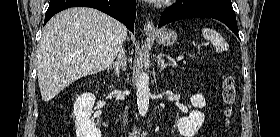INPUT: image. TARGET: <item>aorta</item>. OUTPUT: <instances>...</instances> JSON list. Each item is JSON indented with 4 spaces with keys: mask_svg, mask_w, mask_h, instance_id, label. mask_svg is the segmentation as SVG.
<instances>
[{
    "mask_svg": "<svg viewBox=\"0 0 280 137\" xmlns=\"http://www.w3.org/2000/svg\"><path fill=\"white\" fill-rule=\"evenodd\" d=\"M136 86L138 111L141 116H145L149 108L150 99L149 76L147 73H140Z\"/></svg>",
    "mask_w": 280,
    "mask_h": 137,
    "instance_id": "aorta-1",
    "label": "aorta"
}]
</instances>
